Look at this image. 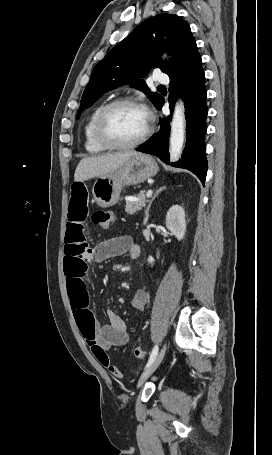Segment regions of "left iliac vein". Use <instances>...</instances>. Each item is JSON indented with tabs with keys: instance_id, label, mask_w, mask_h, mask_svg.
Listing matches in <instances>:
<instances>
[{
	"instance_id": "obj_1",
	"label": "left iliac vein",
	"mask_w": 272,
	"mask_h": 455,
	"mask_svg": "<svg viewBox=\"0 0 272 455\" xmlns=\"http://www.w3.org/2000/svg\"><path fill=\"white\" fill-rule=\"evenodd\" d=\"M166 349H167V344L164 343L160 352L157 354V356L154 359V361L152 362V364L150 366H148L146 368V370L140 376V378L138 380V385H137L138 388L141 387L144 384V382L152 375V373L158 368V366L160 365L161 361L164 358Z\"/></svg>"
}]
</instances>
